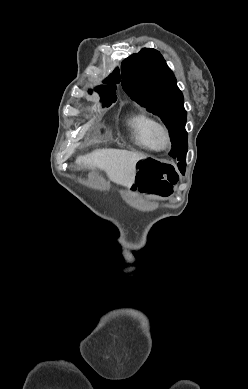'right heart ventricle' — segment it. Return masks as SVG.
I'll return each instance as SVG.
<instances>
[{"label": "right heart ventricle", "mask_w": 248, "mask_h": 389, "mask_svg": "<svg viewBox=\"0 0 248 389\" xmlns=\"http://www.w3.org/2000/svg\"><path fill=\"white\" fill-rule=\"evenodd\" d=\"M157 124L158 122L144 111H138L126 120V127L133 141L146 149H154L151 136Z\"/></svg>", "instance_id": "1"}]
</instances>
